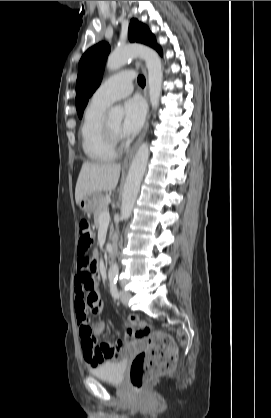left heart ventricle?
I'll list each match as a JSON object with an SVG mask.
<instances>
[{
    "mask_svg": "<svg viewBox=\"0 0 271 418\" xmlns=\"http://www.w3.org/2000/svg\"><path fill=\"white\" fill-rule=\"evenodd\" d=\"M107 124L114 132L120 133V129H121V122L120 121L109 122Z\"/></svg>",
    "mask_w": 271,
    "mask_h": 418,
    "instance_id": "1",
    "label": "left heart ventricle"
}]
</instances>
